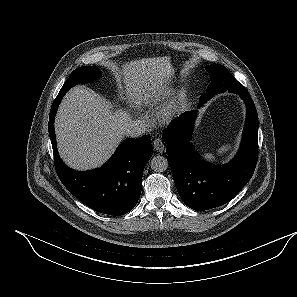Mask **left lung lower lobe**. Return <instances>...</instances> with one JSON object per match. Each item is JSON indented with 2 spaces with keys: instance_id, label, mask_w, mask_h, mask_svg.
Masks as SVG:
<instances>
[{
  "instance_id": "0a47b994",
  "label": "left lung lower lobe",
  "mask_w": 297,
  "mask_h": 297,
  "mask_svg": "<svg viewBox=\"0 0 297 297\" xmlns=\"http://www.w3.org/2000/svg\"><path fill=\"white\" fill-rule=\"evenodd\" d=\"M237 94L246 104V122L239 152L228 164L214 166L206 163L190 144L196 111L185 112L163 132L177 191L193 210H208L229 202L254 173L258 158L257 110L248 91ZM206 100L200 99L199 106Z\"/></svg>"
}]
</instances>
